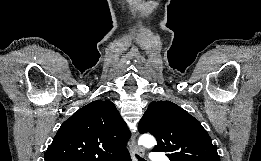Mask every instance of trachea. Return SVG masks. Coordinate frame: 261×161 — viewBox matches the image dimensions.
Returning <instances> with one entry per match:
<instances>
[{"mask_svg": "<svg viewBox=\"0 0 261 161\" xmlns=\"http://www.w3.org/2000/svg\"><path fill=\"white\" fill-rule=\"evenodd\" d=\"M136 157L138 158L139 161H145L143 158H141L139 155L136 154Z\"/></svg>", "mask_w": 261, "mask_h": 161, "instance_id": "1", "label": "trachea"}]
</instances>
